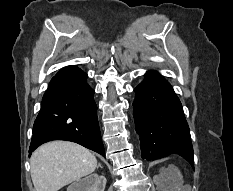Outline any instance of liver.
Here are the masks:
<instances>
[{"mask_svg":"<svg viewBox=\"0 0 233 191\" xmlns=\"http://www.w3.org/2000/svg\"><path fill=\"white\" fill-rule=\"evenodd\" d=\"M30 165L35 191H58L94 172L97 159L79 144L52 141L33 152Z\"/></svg>","mask_w":233,"mask_h":191,"instance_id":"obj_1","label":"liver"}]
</instances>
